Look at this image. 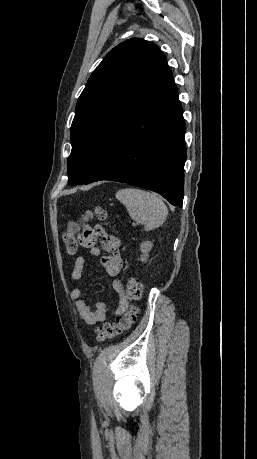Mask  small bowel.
<instances>
[{
    "label": "small bowel",
    "mask_w": 257,
    "mask_h": 459,
    "mask_svg": "<svg viewBox=\"0 0 257 459\" xmlns=\"http://www.w3.org/2000/svg\"><path fill=\"white\" fill-rule=\"evenodd\" d=\"M81 227H71V236H77L79 247H86L90 256H99L100 248L96 245L98 238H101L102 248L106 254L101 256V265L107 274L117 277L122 269V258L119 254L120 239L107 233L101 225L89 228V223L84 221ZM86 266V260L83 256H78L74 261V267L71 271V278L78 281L82 278ZM112 288L119 296V303L114 315H120L128 308L129 302L124 293L123 284L120 279L115 278L112 281ZM70 296L75 300V307L81 320L88 324H96L105 321L108 314V306L105 302H97L92 306L84 297L81 288H73Z\"/></svg>",
    "instance_id": "obj_1"
}]
</instances>
